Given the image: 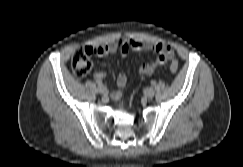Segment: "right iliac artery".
Listing matches in <instances>:
<instances>
[{
    "instance_id": "right-iliac-artery-1",
    "label": "right iliac artery",
    "mask_w": 243,
    "mask_h": 167,
    "mask_svg": "<svg viewBox=\"0 0 243 167\" xmlns=\"http://www.w3.org/2000/svg\"><path fill=\"white\" fill-rule=\"evenodd\" d=\"M96 83H97L98 87H102L103 86L102 81H96Z\"/></svg>"
}]
</instances>
